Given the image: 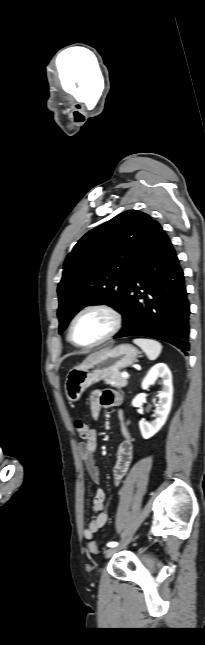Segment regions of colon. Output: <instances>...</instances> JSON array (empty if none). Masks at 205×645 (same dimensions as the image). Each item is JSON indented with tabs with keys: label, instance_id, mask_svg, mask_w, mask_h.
Instances as JSON below:
<instances>
[{
	"label": "colon",
	"instance_id": "colon-1",
	"mask_svg": "<svg viewBox=\"0 0 205 645\" xmlns=\"http://www.w3.org/2000/svg\"><path fill=\"white\" fill-rule=\"evenodd\" d=\"M74 428H75L76 432L78 433V435L82 439L87 440L90 437L91 429L89 428L88 424L83 419L76 418L74 420ZM88 548H89L90 552H92L94 554H97L100 551L98 545L94 541H90L88 543Z\"/></svg>",
	"mask_w": 205,
	"mask_h": 645
}]
</instances>
